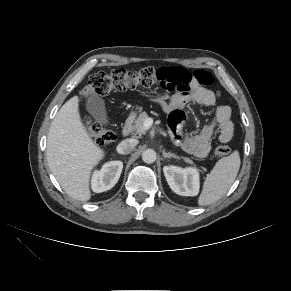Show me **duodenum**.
I'll return each mask as SVG.
<instances>
[{
  "label": "duodenum",
  "instance_id": "obj_1",
  "mask_svg": "<svg viewBox=\"0 0 291 291\" xmlns=\"http://www.w3.org/2000/svg\"><path fill=\"white\" fill-rule=\"evenodd\" d=\"M132 121H133V117L132 116H129L126 119V121H125V123H124V125L122 127V135L123 136L127 137L130 134L131 127H132Z\"/></svg>",
  "mask_w": 291,
  "mask_h": 291
}]
</instances>
